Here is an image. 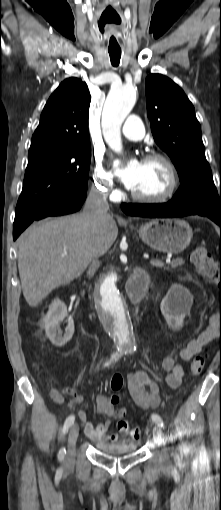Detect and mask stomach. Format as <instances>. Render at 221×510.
Masks as SVG:
<instances>
[{
	"label": "stomach",
	"mask_w": 221,
	"mask_h": 510,
	"mask_svg": "<svg viewBox=\"0 0 221 510\" xmlns=\"http://www.w3.org/2000/svg\"><path fill=\"white\" fill-rule=\"evenodd\" d=\"M138 233L152 249L167 253H180L192 239L190 225L181 219H153L142 225Z\"/></svg>",
	"instance_id": "0dacf381"
}]
</instances>
